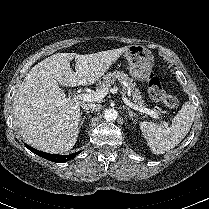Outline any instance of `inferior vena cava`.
I'll return each instance as SVG.
<instances>
[{
    "mask_svg": "<svg viewBox=\"0 0 209 209\" xmlns=\"http://www.w3.org/2000/svg\"><path fill=\"white\" fill-rule=\"evenodd\" d=\"M81 106L84 110L89 112H94V111L96 112L101 108L100 104H95V103H83Z\"/></svg>",
    "mask_w": 209,
    "mask_h": 209,
    "instance_id": "inferior-vena-cava-1",
    "label": "inferior vena cava"
}]
</instances>
